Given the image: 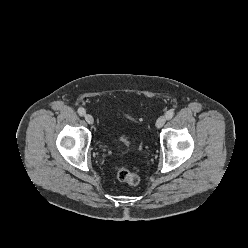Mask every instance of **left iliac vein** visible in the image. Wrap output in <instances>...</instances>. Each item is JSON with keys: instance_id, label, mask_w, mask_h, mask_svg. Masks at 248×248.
Segmentation results:
<instances>
[{"instance_id": "left-iliac-vein-1", "label": "left iliac vein", "mask_w": 248, "mask_h": 248, "mask_svg": "<svg viewBox=\"0 0 248 248\" xmlns=\"http://www.w3.org/2000/svg\"><path fill=\"white\" fill-rule=\"evenodd\" d=\"M167 118L165 116H160L156 121V128H161L166 123Z\"/></svg>"}]
</instances>
